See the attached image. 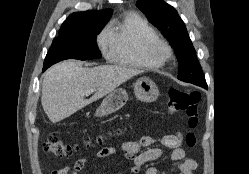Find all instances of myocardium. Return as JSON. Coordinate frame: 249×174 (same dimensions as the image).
<instances>
[{
  "label": "myocardium",
  "instance_id": "myocardium-1",
  "mask_svg": "<svg viewBox=\"0 0 249 174\" xmlns=\"http://www.w3.org/2000/svg\"><path fill=\"white\" fill-rule=\"evenodd\" d=\"M143 52L146 57L162 65L168 61L173 54L170 44L160 38L147 42Z\"/></svg>",
  "mask_w": 249,
  "mask_h": 174
}]
</instances>
